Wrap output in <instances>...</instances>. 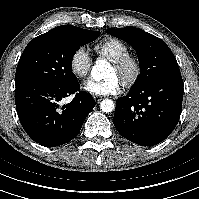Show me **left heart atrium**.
<instances>
[{
  "label": "left heart atrium",
  "mask_w": 199,
  "mask_h": 199,
  "mask_svg": "<svg viewBox=\"0 0 199 199\" xmlns=\"http://www.w3.org/2000/svg\"><path fill=\"white\" fill-rule=\"evenodd\" d=\"M83 88L94 95H115L121 91L122 81L117 76H111L101 81L89 80Z\"/></svg>",
  "instance_id": "obj_1"
}]
</instances>
